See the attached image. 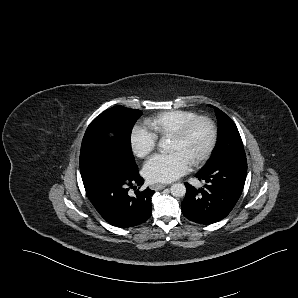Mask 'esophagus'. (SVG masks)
I'll use <instances>...</instances> for the list:
<instances>
[{"instance_id": "1", "label": "esophagus", "mask_w": 298, "mask_h": 298, "mask_svg": "<svg viewBox=\"0 0 298 298\" xmlns=\"http://www.w3.org/2000/svg\"><path fill=\"white\" fill-rule=\"evenodd\" d=\"M167 185L166 184H156L151 186V188L155 189V190H161L164 189Z\"/></svg>"}]
</instances>
